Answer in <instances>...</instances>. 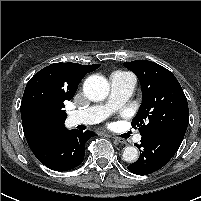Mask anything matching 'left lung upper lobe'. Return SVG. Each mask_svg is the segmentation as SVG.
<instances>
[{"label": "left lung upper lobe", "mask_w": 201, "mask_h": 201, "mask_svg": "<svg viewBox=\"0 0 201 201\" xmlns=\"http://www.w3.org/2000/svg\"><path fill=\"white\" fill-rule=\"evenodd\" d=\"M141 83L142 104L132 121L141 136L159 131L186 132L189 109L176 77L166 68L147 60L124 63Z\"/></svg>", "instance_id": "1"}]
</instances>
